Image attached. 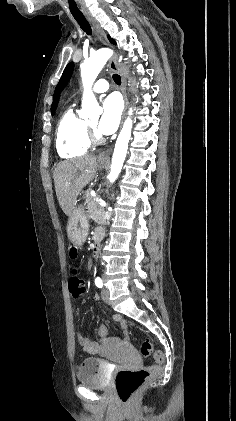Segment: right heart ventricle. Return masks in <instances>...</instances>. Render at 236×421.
<instances>
[{"label": "right heart ventricle", "mask_w": 236, "mask_h": 421, "mask_svg": "<svg viewBox=\"0 0 236 421\" xmlns=\"http://www.w3.org/2000/svg\"><path fill=\"white\" fill-rule=\"evenodd\" d=\"M85 120L73 107L60 117L56 129V149L60 157L74 160L85 156L91 145L84 132Z\"/></svg>", "instance_id": "right-heart-ventricle-1"}]
</instances>
